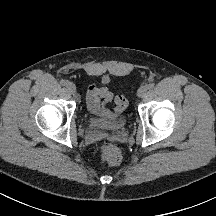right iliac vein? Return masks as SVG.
Wrapping results in <instances>:
<instances>
[{
  "label": "right iliac vein",
  "mask_w": 216,
  "mask_h": 216,
  "mask_svg": "<svg viewBox=\"0 0 216 216\" xmlns=\"http://www.w3.org/2000/svg\"><path fill=\"white\" fill-rule=\"evenodd\" d=\"M66 88L71 94H74L76 92V86L72 82H68Z\"/></svg>",
  "instance_id": "obj_1"
}]
</instances>
